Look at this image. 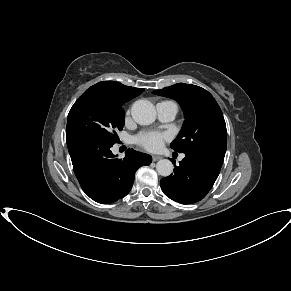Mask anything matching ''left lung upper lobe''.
<instances>
[{
  "label": "left lung upper lobe",
  "instance_id": "1",
  "mask_svg": "<svg viewBox=\"0 0 291 291\" xmlns=\"http://www.w3.org/2000/svg\"><path fill=\"white\" fill-rule=\"evenodd\" d=\"M154 94L176 100L184 112L185 121L171 148L180 153L225 156L226 124L214 97L205 89L178 83Z\"/></svg>",
  "mask_w": 291,
  "mask_h": 291
}]
</instances>
